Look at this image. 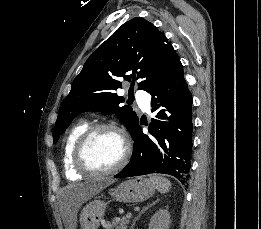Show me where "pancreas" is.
<instances>
[{"instance_id": "1", "label": "pancreas", "mask_w": 261, "mask_h": 229, "mask_svg": "<svg viewBox=\"0 0 261 229\" xmlns=\"http://www.w3.org/2000/svg\"><path fill=\"white\" fill-rule=\"evenodd\" d=\"M127 225H129L128 217H122L120 221H114L112 225L107 223L106 227H109V229H127Z\"/></svg>"}]
</instances>
